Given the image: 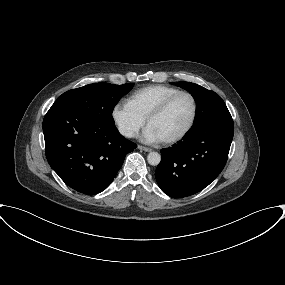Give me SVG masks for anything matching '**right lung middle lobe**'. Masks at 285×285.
<instances>
[{
    "instance_id": "obj_1",
    "label": "right lung middle lobe",
    "mask_w": 285,
    "mask_h": 285,
    "mask_svg": "<svg viewBox=\"0 0 285 285\" xmlns=\"http://www.w3.org/2000/svg\"><path fill=\"white\" fill-rule=\"evenodd\" d=\"M133 86V83L123 85L89 84L63 93L54 104L76 109L98 122L114 125L113 109L121 97Z\"/></svg>"
}]
</instances>
